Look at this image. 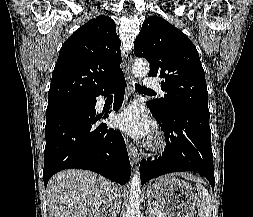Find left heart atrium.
Masks as SVG:
<instances>
[{
	"instance_id": "1",
	"label": "left heart atrium",
	"mask_w": 253,
	"mask_h": 217,
	"mask_svg": "<svg viewBox=\"0 0 253 217\" xmlns=\"http://www.w3.org/2000/svg\"><path fill=\"white\" fill-rule=\"evenodd\" d=\"M115 124L125 133L142 137L149 134L152 125L147 121L136 106H131L116 116Z\"/></svg>"
}]
</instances>
